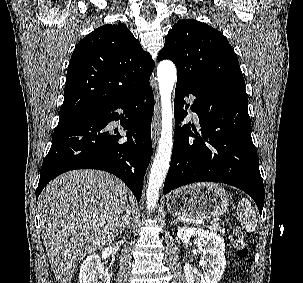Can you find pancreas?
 I'll return each mask as SVG.
<instances>
[{
	"label": "pancreas",
	"instance_id": "pancreas-1",
	"mask_svg": "<svg viewBox=\"0 0 303 283\" xmlns=\"http://www.w3.org/2000/svg\"><path fill=\"white\" fill-rule=\"evenodd\" d=\"M209 230L213 233H220V234H224L225 233V229L223 227H221L217 222L213 223L210 227Z\"/></svg>",
	"mask_w": 303,
	"mask_h": 283
}]
</instances>
